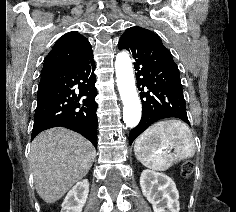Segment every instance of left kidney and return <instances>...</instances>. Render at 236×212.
I'll list each match as a JSON object with an SVG mask.
<instances>
[{
  "label": "left kidney",
  "mask_w": 236,
  "mask_h": 212,
  "mask_svg": "<svg viewBox=\"0 0 236 212\" xmlns=\"http://www.w3.org/2000/svg\"><path fill=\"white\" fill-rule=\"evenodd\" d=\"M140 186L154 212H179V193L170 177L152 170H143Z\"/></svg>",
  "instance_id": "obj_1"
}]
</instances>
